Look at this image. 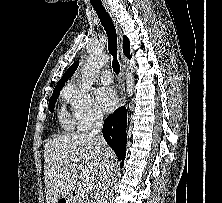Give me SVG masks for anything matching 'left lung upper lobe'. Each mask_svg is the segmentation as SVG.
<instances>
[{
  "mask_svg": "<svg viewBox=\"0 0 222 203\" xmlns=\"http://www.w3.org/2000/svg\"><path fill=\"white\" fill-rule=\"evenodd\" d=\"M123 51H124V54L126 56L131 57L130 56V46H129V40L126 36H124V44H123Z\"/></svg>",
  "mask_w": 222,
  "mask_h": 203,
  "instance_id": "5c2ea615",
  "label": "left lung upper lobe"
}]
</instances>
